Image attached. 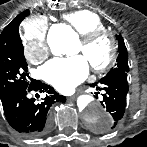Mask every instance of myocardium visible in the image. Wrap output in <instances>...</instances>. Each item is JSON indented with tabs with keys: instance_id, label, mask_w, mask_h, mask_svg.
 Returning <instances> with one entry per match:
<instances>
[{
	"instance_id": "f54148a6",
	"label": "myocardium",
	"mask_w": 147,
	"mask_h": 147,
	"mask_svg": "<svg viewBox=\"0 0 147 147\" xmlns=\"http://www.w3.org/2000/svg\"><path fill=\"white\" fill-rule=\"evenodd\" d=\"M101 39H106L108 42V54L103 62H90L95 72H104L114 63L117 57V42L112 32L106 29L94 30L80 37V43L85 52H89Z\"/></svg>"
}]
</instances>
